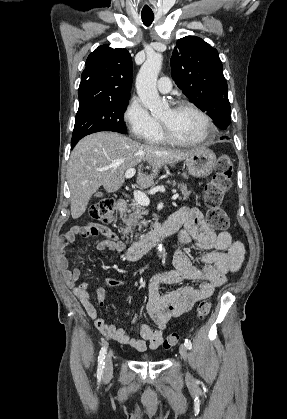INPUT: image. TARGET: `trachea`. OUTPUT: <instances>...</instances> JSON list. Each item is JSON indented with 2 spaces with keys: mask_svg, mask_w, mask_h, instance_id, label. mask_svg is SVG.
Instances as JSON below:
<instances>
[{
  "mask_svg": "<svg viewBox=\"0 0 287 419\" xmlns=\"http://www.w3.org/2000/svg\"><path fill=\"white\" fill-rule=\"evenodd\" d=\"M141 17L145 26H150L154 20L153 14H142Z\"/></svg>",
  "mask_w": 287,
  "mask_h": 419,
  "instance_id": "trachea-1",
  "label": "trachea"
}]
</instances>
